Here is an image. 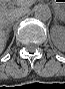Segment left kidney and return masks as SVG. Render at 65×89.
Wrapping results in <instances>:
<instances>
[{
	"label": "left kidney",
	"instance_id": "left-kidney-1",
	"mask_svg": "<svg viewBox=\"0 0 65 89\" xmlns=\"http://www.w3.org/2000/svg\"><path fill=\"white\" fill-rule=\"evenodd\" d=\"M53 42L59 50L65 51V29L63 27H58L57 35L53 36Z\"/></svg>",
	"mask_w": 65,
	"mask_h": 89
}]
</instances>
